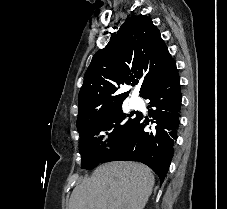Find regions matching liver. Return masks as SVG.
I'll use <instances>...</instances> for the list:
<instances>
[{
  "mask_svg": "<svg viewBox=\"0 0 227 209\" xmlns=\"http://www.w3.org/2000/svg\"><path fill=\"white\" fill-rule=\"evenodd\" d=\"M149 167L140 163H106L75 187L69 209H144L153 189Z\"/></svg>",
  "mask_w": 227,
  "mask_h": 209,
  "instance_id": "6515ba94",
  "label": "liver"
}]
</instances>
